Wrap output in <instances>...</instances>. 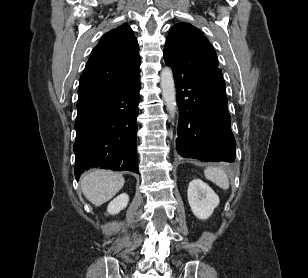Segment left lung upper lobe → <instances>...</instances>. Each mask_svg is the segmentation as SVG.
Here are the masks:
<instances>
[{
    "instance_id": "5c2ea615",
    "label": "left lung upper lobe",
    "mask_w": 308,
    "mask_h": 278,
    "mask_svg": "<svg viewBox=\"0 0 308 278\" xmlns=\"http://www.w3.org/2000/svg\"><path fill=\"white\" fill-rule=\"evenodd\" d=\"M165 63L174 75L190 77L219 69L218 58L204 34L188 23H177L169 32L164 48Z\"/></svg>"
}]
</instances>
